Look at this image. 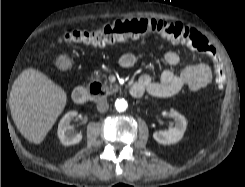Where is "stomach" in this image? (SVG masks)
I'll list each match as a JSON object with an SVG mask.
<instances>
[{
	"label": "stomach",
	"mask_w": 245,
	"mask_h": 187,
	"mask_svg": "<svg viewBox=\"0 0 245 187\" xmlns=\"http://www.w3.org/2000/svg\"><path fill=\"white\" fill-rule=\"evenodd\" d=\"M55 64L59 69L64 70V69H68L71 66L72 61L67 54H62L57 57Z\"/></svg>",
	"instance_id": "obj_1"
}]
</instances>
